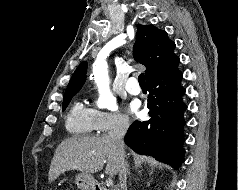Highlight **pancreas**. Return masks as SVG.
I'll return each instance as SVG.
<instances>
[{
  "label": "pancreas",
  "instance_id": "pancreas-1",
  "mask_svg": "<svg viewBox=\"0 0 238 190\" xmlns=\"http://www.w3.org/2000/svg\"><path fill=\"white\" fill-rule=\"evenodd\" d=\"M104 190H116V189H114L113 187H111L110 189H104Z\"/></svg>",
  "mask_w": 238,
  "mask_h": 190
}]
</instances>
